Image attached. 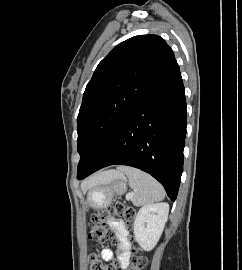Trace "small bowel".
<instances>
[{"mask_svg": "<svg viewBox=\"0 0 242 270\" xmlns=\"http://www.w3.org/2000/svg\"><path fill=\"white\" fill-rule=\"evenodd\" d=\"M109 225L111 229L114 231L118 241H119V249L122 251L120 255V261L123 267L128 265L129 261V247L130 243L128 241V229L126 224L117 218H113L110 220ZM101 255L105 261H111L113 258V253L110 249H103Z\"/></svg>", "mask_w": 242, "mask_h": 270, "instance_id": "1", "label": "small bowel"}]
</instances>
